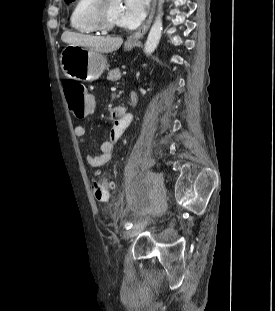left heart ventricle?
I'll list each match as a JSON object with an SVG mask.
<instances>
[{"instance_id": "left-heart-ventricle-1", "label": "left heart ventricle", "mask_w": 275, "mask_h": 311, "mask_svg": "<svg viewBox=\"0 0 275 311\" xmlns=\"http://www.w3.org/2000/svg\"><path fill=\"white\" fill-rule=\"evenodd\" d=\"M122 7L121 0H109L107 13L108 18L113 23L119 24V14Z\"/></svg>"}]
</instances>
